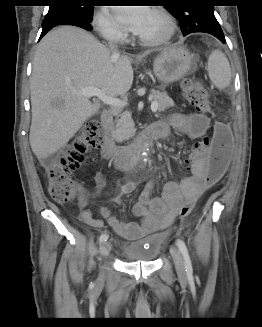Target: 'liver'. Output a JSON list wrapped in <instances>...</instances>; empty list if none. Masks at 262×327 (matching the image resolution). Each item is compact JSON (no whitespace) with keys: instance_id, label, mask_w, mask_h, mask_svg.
<instances>
[{"instance_id":"liver-1","label":"liver","mask_w":262,"mask_h":327,"mask_svg":"<svg viewBox=\"0 0 262 327\" xmlns=\"http://www.w3.org/2000/svg\"><path fill=\"white\" fill-rule=\"evenodd\" d=\"M132 59L115 56L93 35L72 26L49 32L39 43L30 83L29 141L43 161L63 148L96 114L100 103L78 92L99 88L109 97L125 95L133 83Z\"/></svg>"}]
</instances>
